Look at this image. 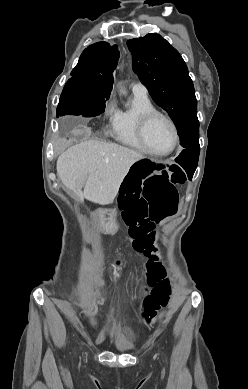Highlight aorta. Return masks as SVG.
I'll return each instance as SVG.
<instances>
[{"instance_id":"1","label":"aorta","mask_w":248,"mask_h":389,"mask_svg":"<svg viewBox=\"0 0 248 389\" xmlns=\"http://www.w3.org/2000/svg\"><path fill=\"white\" fill-rule=\"evenodd\" d=\"M120 92L124 93V91H123V90H121Z\"/></svg>"}]
</instances>
